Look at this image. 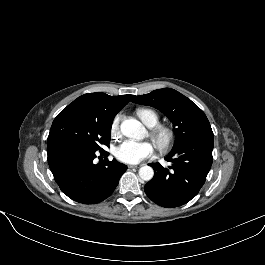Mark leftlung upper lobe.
<instances>
[{
	"instance_id": "5c2ea615",
	"label": "left lung upper lobe",
	"mask_w": 265,
	"mask_h": 265,
	"mask_svg": "<svg viewBox=\"0 0 265 265\" xmlns=\"http://www.w3.org/2000/svg\"><path fill=\"white\" fill-rule=\"evenodd\" d=\"M132 102L153 106L172 121L175 126L176 141L171 151L198 134L212 132L204 112L174 89L163 88L146 95L134 96Z\"/></svg>"
}]
</instances>
